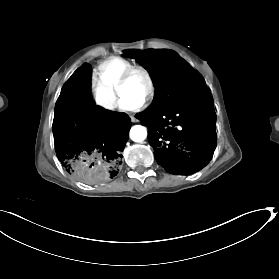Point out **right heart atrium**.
Returning <instances> with one entry per match:
<instances>
[{"instance_id":"right-heart-atrium-1","label":"right heart atrium","mask_w":279,"mask_h":279,"mask_svg":"<svg viewBox=\"0 0 279 279\" xmlns=\"http://www.w3.org/2000/svg\"><path fill=\"white\" fill-rule=\"evenodd\" d=\"M93 100L96 106L105 114H112L116 111L118 105V97L101 84H93L92 88Z\"/></svg>"}]
</instances>
